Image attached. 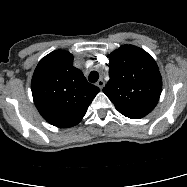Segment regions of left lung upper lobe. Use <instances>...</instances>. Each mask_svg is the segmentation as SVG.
<instances>
[{
  "mask_svg": "<svg viewBox=\"0 0 187 187\" xmlns=\"http://www.w3.org/2000/svg\"><path fill=\"white\" fill-rule=\"evenodd\" d=\"M110 80L103 92L116 109L131 119H140L157 105L162 79L155 60L143 49L123 45L109 55Z\"/></svg>",
  "mask_w": 187,
  "mask_h": 187,
  "instance_id": "left-lung-upper-lobe-1",
  "label": "left lung upper lobe"
}]
</instances>
